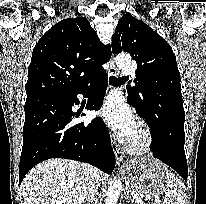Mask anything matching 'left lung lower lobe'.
<instances>
[{
    "mask_svg": "<svg viewBox=\"0 0 206 204\" xmlns=\"http://www.w3.org/2000/svg\"><path fill=\"white\" fill-rule=\"evenodd\" d=\"M128 103L130 104L129 101ZM161 118L160 130L151 132L153 156L169 165L187 180V160L184 151V108L180 106Z\"/></svg>",
    "mask_w": 206,
    "mask_h": 204,
    "instance_id": "left-lung-lower-lobe-1",
    "label": "left lung lower lobe"
}]
</instances>
